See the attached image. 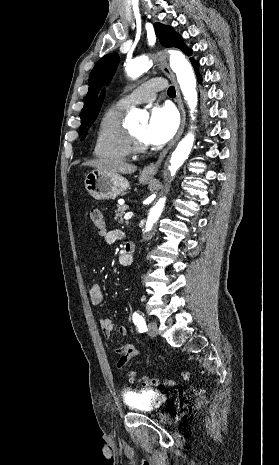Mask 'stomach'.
<instances>
[{
  "label": "stomach",
  "instance_id": "0dacf381",
  "mask_svg": "<svg viewBox=\"0 0 279 465\" xmlns=\"http://www.w3.org/2000/svg\"><path fill=\"white\" fill-rule=\"evenodd\" d=\"M151 177L141 175L139 181L146 184ZM89 194L96 200L115 199L118 195L125 193L129 188V182L117 173L93 170L89 172L84 181Z\"/></svg>",
  "mask_w": 279,
  "mask_h": 465
}]
</instances>
